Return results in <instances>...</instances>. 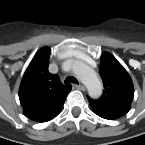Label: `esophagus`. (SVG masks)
I'll list each match as a JSON object with an SVG mask.
<instances>
[{
    "mask_svg": "<svg viewBox=\"0 0 145 145\" xmlns=\"http://www.w3.org/2000/svg\"><path fill=\"white\" fill-rule=\"evenodd\" d=\"M74 86L78 90H81V91H84L85 90V87L82 84H75Z\"/></svg>",
    "mask_w": 145,
    "mask_h": 145,
    "instance_id": "1",
    "label": "esophagus"
}]
</instances>
